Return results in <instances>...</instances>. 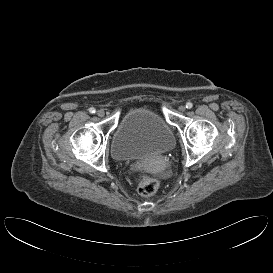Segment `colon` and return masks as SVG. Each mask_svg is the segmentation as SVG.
Returning a JSON list of instances; mask_svg holds the SVG:
<instances>
[{
    "label": "colon",
    "instance_id": "obj_1",
    "mask_svg": "<svg viewBox=\"0 0 273 273\" xmlns=\"http://www.w3.org/2000/svg\"><path fill=\"white\" fill-rule=\"evenodd\" d=\"M138 192L142 196H151L156 193L159 188V180L156 177L145 173H140L137 176Z\"/></svg>",
    "mask_w": 273,
    "mask_h": 273
}]
</instances>
